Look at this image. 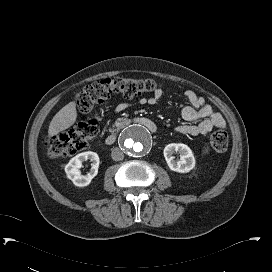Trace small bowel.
<instances>
[{
  "label": "small bowel",
  "mask_w": 272,
  "mask_h": 272,
  "mask_svg": "<svg viewBox=\"0 0 272 272\" xmlns=\"http://www.w3.org/2000/svg\"><path fill=\"white\" fill-rule=\"evenodd\" d=\"M162 96L160 90L156 91L151 97L143 98L139 100L140 104H157ZM185 96L189 101V105L185 106L181 110V116L185 121L194 122L199 120L197 124L181 125L176 128V132L182 135H198L207 134L211 130L223 129L226 127L223 116L215 112L213 108L206 103L205 99L198 96L191 90L185 92ZM131 104L129 102L121 103L117 107V111H122L129 108Z\"/></svg>",
  "instance_id": "1"
}]
</instances>
